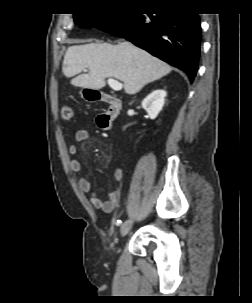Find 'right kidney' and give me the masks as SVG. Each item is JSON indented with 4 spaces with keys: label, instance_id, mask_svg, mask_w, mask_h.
<instances>
[{
    "label": "right kidney",
    "instance_id": "1",
    "mask_svg": "<svg viewBox=\"0 0 252 303\" xmlns=\"http://www.w3.org/2000/svg\"><path fill=\"white\" fill-rule=\"evenodd\" d=\"M166 94L165 90L156 89L142 101V107L146 110L150 119H155L162 110Z\"/></svg>",
    "mask_w": 252,
    "mask_h": 303
}]
</instances>
